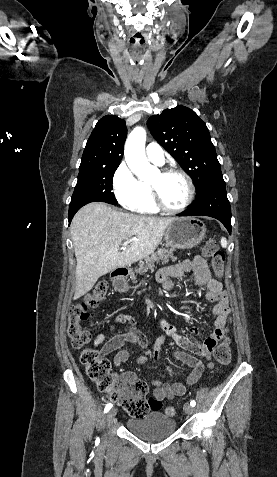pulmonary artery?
Here are the masks:
<instances>
[{"instance_id": "pulmonary-artery-1", "label": "pulmonary artery", "mask_w": 277, "mask_h": 477, "mask_svg": "<svg viewBox=\"0 0 277 477\" xmlns=\"http://www.w3.org/2000/svg\"><path fill=\"white\" fill-rule=\"evenodd\" d=\"M146 156L149 161L154 164L162 165L164 162V154L162 148L157 143H150L146 147Z\"/></svg>"}]
</instances>
